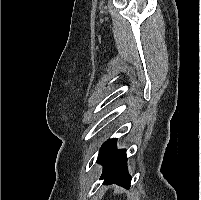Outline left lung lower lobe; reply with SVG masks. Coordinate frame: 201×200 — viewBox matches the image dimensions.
<instances>
[{
    "label": "left lung lower lobe",
    "instance_id": "obj_1",
    "mask_svg": "<svg viewBox=\"0 0 201 200\" xmlns=\"http://www.w3.org/2000/svg\"><path fill=\"white\" fill-rule=\"evenodd\" d=\"M116 142L117 139H111L101 147L97 159L104 166L101 179L105 184L117 183L129 188L131 177L127 173L126 150H117Z\"/></svg>",
    "mask_w": 201,
    "mask_h": 200
}]
</instances>
